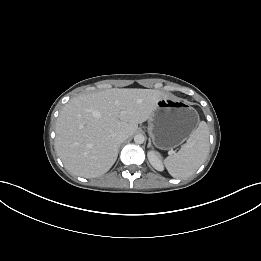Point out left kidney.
Returning <instances> with one entry per match:
<instances>
[{
	"mask_svg": "<svg viewBox=\"0 0 261 261\" xmlns=\"http://www.w3.org/2000/svg\"><path fill=\"white\" fill-rule=\"evenodd\" d=\"M148 160L150 164L158 171L163 170V164L160 159V157L154 152V151H149L147 154Z\"/></svg>",
	"mask_w": 261,
	"mask_h": 261,
	"instance_id": "1",
	"label": "left kidney"
}]
</instances>
